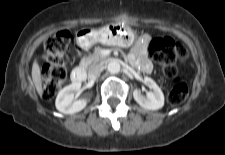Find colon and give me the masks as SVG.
Instances as JSON below:
<instances>
[{
  "label": "colon",
  "instance_id": "5ec220e1",
  "mask_svg": "<svg viewBox=\"0 0 225 155\" xmlns=\"http://www.w3.org/2000/svg\"><path fill=\"white\" fill-rule=\"evenodd\" d=\"M71 36L62 30L49 37L44 44L43 98L52 99L68 76V49ZM149 54L160 64L162 73L172 79L173 87L168 95V103L180 105L188 95L186 83L178 78V63L188 57V49L170 37L154 38L149 43Z\"/></svg>",
  "mask_w": 225,
  "mask_h": 155
}]
</instances>
